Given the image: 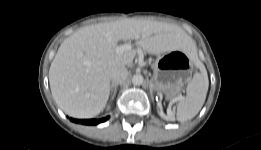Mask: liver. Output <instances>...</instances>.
Masks as SVG:
<instances>
[{
  "mask_svg": "<svg viewBox=\"0 0 261 150\" xmlns=\"http://www.w3.org/2000/svg\"><path fill=\"white\" fill-rule=\"evenodd\" d=\"M137 40L145 52L195 51L180 27L158 21L126 18L80 28L60 45L49 69L52 96L68 115L92 118L106 105L113 67L133 62L136 50L117 53L120 40Z\"/></svg>",
  "mask_w": 261,
  "mask_h": 150,
  "instance_id": "1",
  "label": "liver"
}]
</instances>
